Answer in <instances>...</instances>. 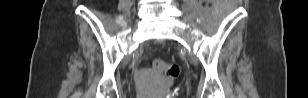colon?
I'll return each instance as SVG.
<instances>
[{"instance_id": "obj_1", "label": "colon", "mask_w": 308, "mask_h": 98, "mask_svg": "<svg viewBox=\"0 0 308 98\" xmlns=\"http://www.w3.org/2000/svg\"><path fill=\"white\" fill-rule=\"evenodd\" d=\"M152 66L154 69L164 73L169 83H173L179 75V66L176 64L155 60Z\"/></svg>"}]
</instances>
